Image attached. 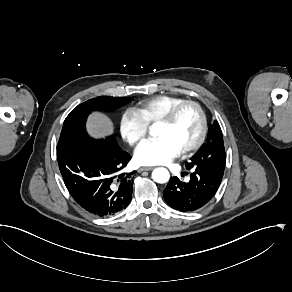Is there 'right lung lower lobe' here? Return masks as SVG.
Masks as SVG:
<instances>
[{
	"label": "right lung lower lobe",
	"instance_id": "obj_1",
	"mask_svg": "<svg viewBox=\"0 0 292 292\" xmlns=\"http://www.w3.org/2000/svg\"><path fill=\"white\" fill-rule=\"evenodd\" d=\"M130 159L118 144L57 146L58 166L69 193L84 210L98 217L114 215L129 205L134 172L121 170Z\"/></svg>",
	"mask_w": 292,
	"mask_h": 292
}]
</instances>
